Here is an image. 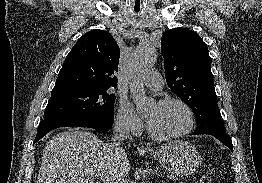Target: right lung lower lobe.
<instances>
[{
	"label": "right lung lower lobe",
	"instance_id": "right-lung-lower-lobe-1",
	"mask_svg": "<svg viewBox=\"0 0 262 183\" xmlns=\"http://www.w3.org/2000/svg\"><path fill=\"white\" fill-rule=\"evenodd\" d=\"M113 122H114V118L89 119V118H81V117L59 116V117L42 119L39 124L34 143L40 140L48 132L58 127H88V128L96 129L101 133H104L111 128Z\"/></svg>",
	"mask_w": 262,
	"mask_h": 183
}]
</instances>
